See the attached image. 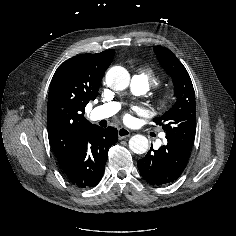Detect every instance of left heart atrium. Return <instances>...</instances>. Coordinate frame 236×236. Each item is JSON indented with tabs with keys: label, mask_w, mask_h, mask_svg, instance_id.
<instances>
[{
	"label": "left heart atrium",
	"mask_w": 236,
	"mask_h": 236,
	"mask_svg": "<svg viewBox=\"0 0 236 236\" xmlns=\"http://www.w3.org/2000/svg\"><path fill=\"white\" fill-rule=\"evenodd\" d=\"M125 120H126L127 122H130V121H131V117H130L129 114H126V115H125Z\"/></svg>",
	"instance_id": "left-heart-atrium-1"
}]
</instances>
